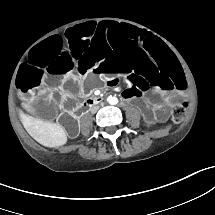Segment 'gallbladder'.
<instances>
[{"instance_id": "obj_1", "label": "gallbladder", "mask_w": 215, "mask_h": 215, "mask_svg": "<svg viewBox=\"0 0 215 215\" xmlns=\"http://www.w3.org/2000/svg\"><path fill=\"white\" fill-rule=\"evenodd\" d=\"M35 113L47 121H54L58 117L57 105L53 101L40 100L35 105Z\"/></svg>"}]
</instances>
